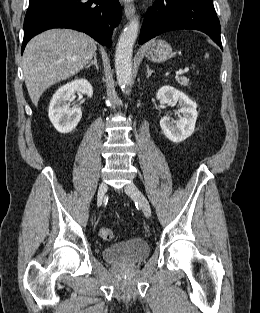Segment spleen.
Returning a JSON list of instances; mask_svg holds the SVG:
<instances>
[{"mask_svg":"<svg viewBox=\"0 0 260 313\" xmlns=\"http://www.w3.org/2000/svg\"><path fill=\"white\" fill-rule=\"evenodd\" d=\"M208 57H209V55H208V53H206L205 58H208Z\"/></svg>","mask_w":260,"mask_h":313,"instance_id":"spleen-1","label":"spleen"}]
</instances>
